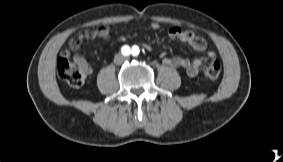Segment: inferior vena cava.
Here are the masks:
<instances>
[{
	"mask_svg": "<svg viewBox=\"0 0 283 162\" xmlns=\"http://www.w3.org/2000/svg\"><path fill=\"white\" fill-rule=\"evenodd\" d=\"M126 60V57L122 54H117L114 58V63L115 64H121L122 62H124Z\"/></svg>",
	"mask_w": 283,
	"mask_h": 162,
	"instance_id": "602c4592",
	"label": "inferior vena cava"
}]
</instances>
